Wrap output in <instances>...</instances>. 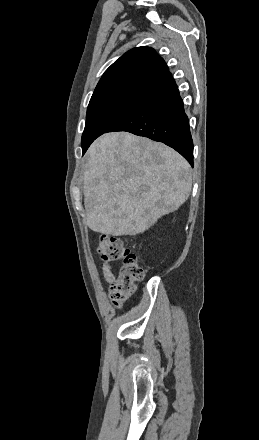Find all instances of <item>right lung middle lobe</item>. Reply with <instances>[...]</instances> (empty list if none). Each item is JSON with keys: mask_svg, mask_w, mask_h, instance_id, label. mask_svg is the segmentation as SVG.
Returning <instances> with one entry per match:
<instances>
[{"mask_svg": "<svg viewBox=\"0 0 259 440\" xmlns=\"http://www.w3.org/2000/svg\"><path fill=\"white\" fill-rule=\"evenodd\" d=\"M146 93V91L126 90L91 99L82 134V149L122 119Z\"/></svg>", "mask_w": 259, "mask_h": 440, "instance_id": "1", "label": "right lung middle lobe"}]
</instances>
